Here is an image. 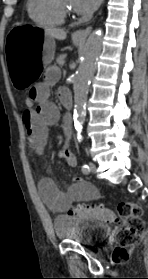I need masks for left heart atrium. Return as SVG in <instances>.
I'll list each match as a JSON object with an SVG mask.
<instances>
[{
	"instance_id": "left-heart-atrium-1",
	"label": "left heart atrium",
	"mask_w": 148,
	"mask_h": 279,
	"mask_svg": "<svg viewBox=\"0 0 148 279\" xmlns=\"http://www.w3.org/2000/svg\"><path fill=\"white\" fill-rule=\"evenodd\" d=\"M101 0H73L74 9L84 15H89L96 10Z\"/></svg>"
}]
</instances>
